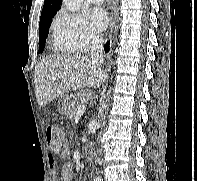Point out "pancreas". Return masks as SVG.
Listing matches in <instances>:
<instances>
[{"label":"pancreas","mask_w":197,"mask_h":181,"mask_svg":"<svg viewBox=\"0 0 197 181\" xmlns=\"http://www.w3.org/2000/svg\"><path fill=\"white\" fill-rule=\"evenodd\" d=\"M83 96H85L84 92H78L77 94L74 95L73 103L71 105L70 112H69L70 119H73L76 116L78 107L82 106V102L80 99Z\"/></svg>","instance_id":"1"}]
</instances>
